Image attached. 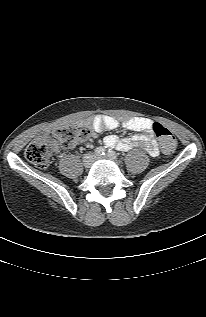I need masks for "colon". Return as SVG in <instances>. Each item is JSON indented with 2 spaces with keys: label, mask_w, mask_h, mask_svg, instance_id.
<instances>
[{
  "label": "colon",
  "mask_w": 206,
  "mask_h": 317,
  "mask_svg": "<svg viewBox=\"0 0 206 317\" xmlns=\"http://www.w3.org/2000/svg\"><path fill=\"white\" fill-rule=\"evenodd\" d=\"M152 131L158 138L164 152L170 153L174 150L176 138L167 127L155 122L152 125ZM89 133L90 131L86 128L65 125L57 128L53 135L63 148H71L77 142L85 140ZM53 143L54 141L49 134H41L27 146L25 150L26 159L39 168H46L50 162Z\"/></svg>",
  "instance_id": "obj_1"
}]
</instances>
